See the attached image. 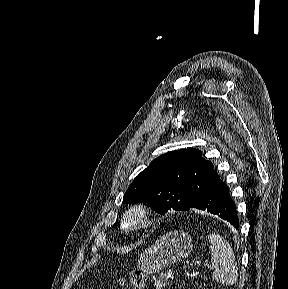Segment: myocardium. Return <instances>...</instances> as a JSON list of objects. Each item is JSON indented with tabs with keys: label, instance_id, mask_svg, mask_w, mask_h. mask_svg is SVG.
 Here are the masks:
<instances>
[{
	"label": "myocardium",
	"instance_id": "1",
	"mask_svg": "<svg viewBox=\"0 0 288 289\" xmlns=\"http://www.w3.org/2000/svg\"><path fill=\"white\" fill-rule=\"evenodd\" d=\"M152 220L153 210L147 203H133L123 211L120 229L126 233L140 232L149 227Z\"/></svg>",
	"mask_w": 288,
	"mask_h": 289
}]
</instances>
